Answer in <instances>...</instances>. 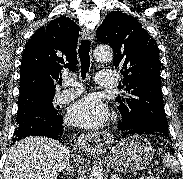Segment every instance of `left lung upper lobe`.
Segmentation results:
<instances>
[{
    "instance_id": "1",
    "label": "left lung upper lobe",
    "mask_w": 183,
    "mask_h": 179,
    "mask_svg": "<svg viewBox=\"0 0 183 179\" xmlns=\"http://www.w3.org/2000/svg\"><path fill=\"white\" fill-rule=\"evenodd\" d=\"M96 37L112 47L115 68L122 67V88L128 94L117 97L116 101L123 120L133 127L168 133L156 41L137 19L120 11L105 17Z\"/></svg>"
}]
</instances>
